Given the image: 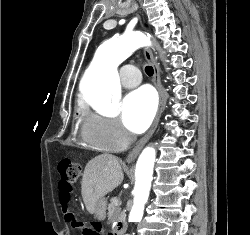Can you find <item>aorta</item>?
I'll return each mask as SVG.
<instances>
[{"label": "aorta", "instance_id": "762f6f07", "mask_svg": "<svg viewBox=\"0 0 250 235\" xmlns=\"http://www.w3.org/2000/svg\"><path fill=\"white\" fill-rule=\"evenodd\" d=\"M151 45L142 32L124 35L121 40L105 41L97 49L93 63L86 72L83 95L91 105L110 107L120 98V80L117 66L134 50ZM156 152L146 147L140 154L135 171L134 203L129 222H140L148 200Z\"/></svg>", "mask_w": 250, "mask_h": 235}]
</instances>
